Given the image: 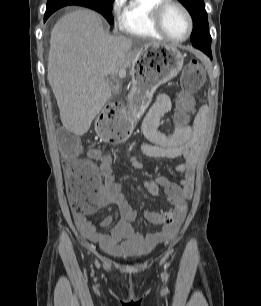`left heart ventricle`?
I'll return each mask as SVG.
<instances>
[{"instance_id":"b2bd125f","label":"left heart ventricle","mask_w":261,"mask_h":306,"mask_svg":"<svg viewBox=\"0 0 261 306\" xmlns=\"http://www.w3.org/2000/svg\"><path fill=\"white\" fill-rule=\"evenodd\" d=\"M162 22L167 33L173 38H183L187 33V19L183 12L175 6H169L165 9Z\"/></svg>"}]
</instances>
